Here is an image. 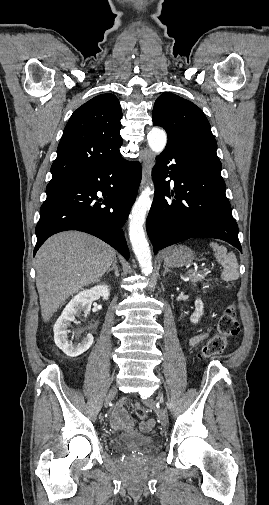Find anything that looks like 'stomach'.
I'll use <instances>...</instances> for the list:
<instances>
[{
	"label": "stomach",
	"instance_id": "obj_1",
	"mask_svg": "<svg viewBox=\"0 0 269 505\" xmlns=\"http://www.w3.org/2000/svg\"><path fill=\"white\" fill-rule=\"evenodd\" d=\"M194 259L193 251L185 245H177L163 254L164 265L181 267L191 263Z\"/></svg>",
	"mask_w": 269,
	"mask_h": 505
}]
</instances>
